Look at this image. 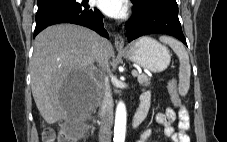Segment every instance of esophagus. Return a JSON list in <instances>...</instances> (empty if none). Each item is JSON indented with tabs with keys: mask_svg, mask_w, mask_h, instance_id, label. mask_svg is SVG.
<instances>
[{
	"mask_svg": "<svg viewBox=\"0 0 227 142\" xmlns=\"http://www.w3.org/2000/svg\"><path fill=\"white\" fill-rule=\"evenodd\" d=\"M114 44L116 49L121 50L125 47V41L121 34H117L114 37Z\"/></svg>",
	"mask_w": 227,
	"mask_h": 142,
	"instance_id": "34e87169",
	"label": "esophagus"
}]
</instances>
